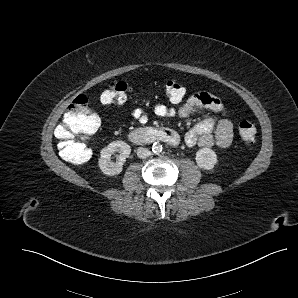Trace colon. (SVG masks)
Wrapping results in <instances>:
<instances>
[{
	"label": "colon",
	"instance_id": "colon-1",
	"mask_svg": "<svg viewBox=\"0 0 298 298\" xmlns=\"http://www.w3.org/2000/svg\"><path fill=\"white\" fill-rule=\"evenodd\" d=\"M130 88L125 80L114 81L101 94V101L105 104H122L127 99ZM167 99L172 103H179L186 94L185 87L176 80H168L164 87ZM100 120L97 114L89 107L85 96H77L68 106L61 122L55 129V135L60 140V148L65 153H80L77 161H87L91 153L86 146L77 142V139L91 137L99 128ZM239 134L244 144L250 146L255 142L256 128L249 121L239 124Z\"/></svg>",
	"mask_w": 298,
	"mask_h": 298
}]
</instances>
